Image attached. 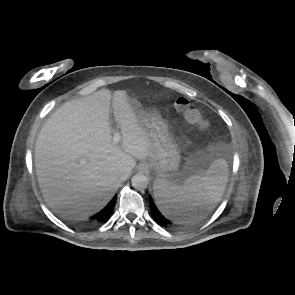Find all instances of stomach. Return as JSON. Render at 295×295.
Here are the masks:
<instances>
[{
	"mask_svg": "<svg viewBox=\"0 0 295 295\" xmlns=\"http://www.w3.org/2000/svg\"><path fill=\"white\" fill-rule=\"evenodd\" d=\"M139 124L151 139L148 166L162 179H173L179 173L181 147L172 134L167 121L157 111H147L134 104ZM208 165L200 168L205 171Z\"/></svg>",
	"mask_w": 295,
	"mask_h": 295,
	"instance_id": "0dacf381",
	"label": "stomach"
}]
</instances>
